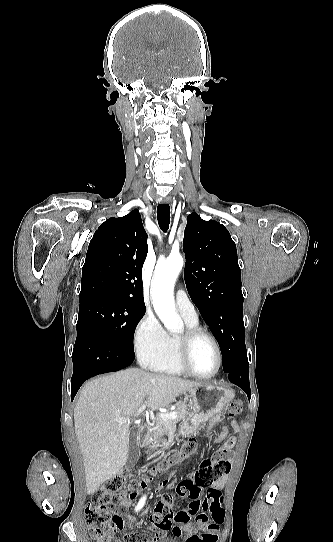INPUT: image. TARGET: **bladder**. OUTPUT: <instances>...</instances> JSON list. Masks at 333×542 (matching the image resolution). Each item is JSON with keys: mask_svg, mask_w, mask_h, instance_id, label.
I'll return each instance as SVG.
<instances>
[{"mask_svg": "<svg viewBox=\"0 0 333 542\" xmlns=\"http://www.w3.org/2000/svg\"><path fill=\"white\" fill-rule=\"evenodd\" d=\"M158 542H177V541H175V539H170V540H160Z\"/></svg>", "mask_w": 333, "mask_h": 542, "instance_id": "1", "label": "bladder"}]
</instances>
